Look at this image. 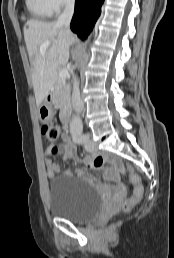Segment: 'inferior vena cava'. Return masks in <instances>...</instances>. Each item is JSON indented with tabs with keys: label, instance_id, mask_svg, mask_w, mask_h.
<instances>
[{
	"label": "inferior vena cava",
	"instance_id": "obj_1",
	"mask_svg": "<svg viewBox=\"0 0 174 258\" xmlns=\"http://www.w3.org/2000/svg\"><path fill=\"white\" fill-rule=\"evenodd\" d=\"M74 2L75 0H66L65 8L63 13L58 17L56 24L63 26L69 30L70 22L74 13ZM72 105L74 110L79 114L83 109V102L80 98L79 84L74 78L73 81V92H72Z\"/></svg>",
	"mask_w": 174,
	"mask_h": 258
}]
</instances>
